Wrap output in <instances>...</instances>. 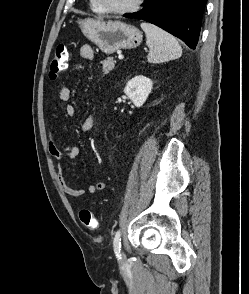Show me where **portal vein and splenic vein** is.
<instances>
[{
    "mask_svg": "<svg viewBox=\"0 0 249 294\" xmlns=\"http://www.w3.org/2000/svg\"><path fill=\"white\" fill-rule=\"evenodd\" d=\"M118 59H123V55L119 54Z\"/></svg>",
    "mask_w": 249,
    "mask_h": 294,
    "instance_id": "18ae733b",
    "label": "portal vein and splenic vein"
}]
</instances>
